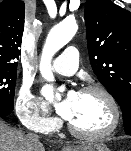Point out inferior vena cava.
<instances>
[{"instance_id":"obj_1","label":"inferior vena cava","mask_w":131,"mask_h":151,"mask_svg":"<svg viewBox=\"0 0 131 151\" xmlns=\"http://www.w3.org/2000/svg\"><path fill=\"white\" fill-rule=\"evenodd\" d=\"M28 136L35 139V140H38V136L34 133H29Z\"/></svg>"}]
</instances>
